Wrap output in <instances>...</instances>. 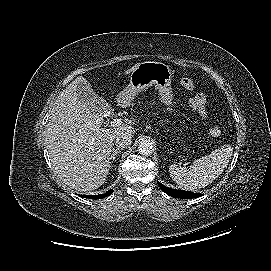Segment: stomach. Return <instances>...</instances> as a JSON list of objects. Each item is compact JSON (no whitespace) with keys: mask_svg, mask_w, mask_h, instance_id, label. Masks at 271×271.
I'll return each mask as SVG.
<instances>
[{"mask_svg":"<svg viewBox=\"0 0 271 271\" xmlns=\"http://www.w3.org/2000/svg\"><path fill=\"white\" fill-rule=\"evenodd\" d=\"M172 77V70L164 63L153 61L140 63L131 72L130 82L118 95L117 101L120 105L129 104L138 93L148 89L150 86H155L159 91L162 102L167 106V111L172 113Z\"/></svg>","mask_w":271,"mask_h":271,"instance_id":"obj_1","label":"stomach"}]
</instances>
